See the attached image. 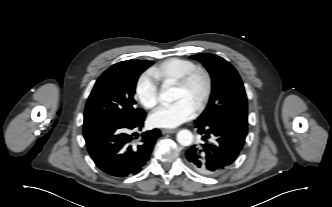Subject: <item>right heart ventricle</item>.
<instances>
[{
	"mask_svg": "<svg viewBox=\"0 0 332 207\" xmlns=\"http://www.w3.org/2000/svg\"><path fill=\"white\" fill-rule=\"evenodd\" d=\"M196 64L188 59L172 57L162 61L150 70L153 77L160 82H175Z\"/></svg>",
	"mask_w": 332,
	"mask_h": 207,
	"instance_id": "right-heart-ventricle-1",
	"label": "right heart ventricle"
}]
</instances>
